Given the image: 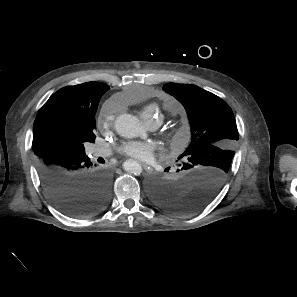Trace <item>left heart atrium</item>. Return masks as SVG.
I'll list each match as a JSON object with an SVG mask.
<instances>
[{"label": "left heart atrium", "instance_id": "39dd6f15", "mask_svg": "<svg viewBox=\"0 0 297 297\" xmlns=\"http://www.w3.org/2000/svg\"><path fill=\"white\" fill-rule=\"evenodd\" d=\"M157 146L150 141H128L121 145L120 151L139 161H151L154 158Z\"/></svg>", "mask_w": 297, "mask_h": 297}]
</instances>
